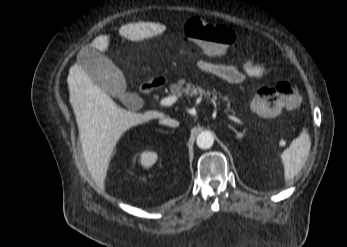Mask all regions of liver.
Masks as SVG:
<instances>
[{
    "instance_id": "1",
    "label": "liver",
    "mask_w": 347,
    "mask_h": 247,
    "mask_svg": "<svg viewBox=\"0 0 347 247\" xmlns=\"http://www.w3.org/2000/svg\"><path fill=\"white\" fill-rule=\"evenodd\" d=\"M163 29L164 26L156 23L127 24L119 29V34L129 40L140 41L159 34ZM108 46L109 36L101 35L81 50L92 47L104 52ZM67 83L88 169L94 180L104 185L111 156L120 137L130 128L161 118L163 114L157 111L140 114L117 107L77 63L71 66Z\"/></svg>"
}]
</instances>
